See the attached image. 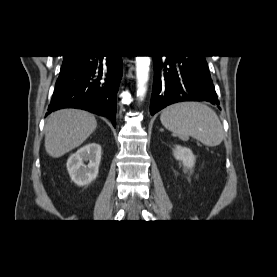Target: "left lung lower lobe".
<instances>
[{
  "mask_svg": "<svg viewBox=\"0 0 277 277\" xmlns=\"http://www.w3.org/2000/svg\"><path fill=\"white\" fill-rule=\"evenodd\" d=\"M153 115L180 101H207L219 105L205 56H153Z\"/></svg>",
  "mask_w": 277,
  "mask_h": 277,
  "instance_id": "left-lung-lower-lobe-1",
  "label": "left lung lower lobe"
}]
</instances>
